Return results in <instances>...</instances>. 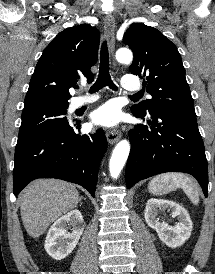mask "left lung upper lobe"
I'll return each mask as SVG.
<instances>
[{"label": "left lung upper lobe", "instance_id": "obj_1", "mask_svg": "<svg viewBox=\"0 0 215 274\" xmlns=\"http://www.w3.org/2000/svg\"><path fill=\"white\" fill-rule=\"evenodd\" d=\"M123 41L133 53L130 72L144 78L151 99L132 106V111L151 113L165 109L195 116L194 101L176 46L156 28L132 24Z\"/></svg>", "mask_w": 215, "mask_h": 274}]
</instances>
